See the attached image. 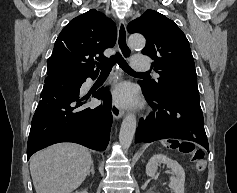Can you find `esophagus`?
I'll return each mask as SVG.
<instances>
[{"label": "esophagus", "mask_w": 237, "mask_h": 193, "mask_svg": "<svg viewBox=\"0 0 237 193\" xmlns=\"http://www.w3.org/2000/svg\"><path fill=\"white\" fill-rule=\"evenodd\" d=\"M127 30L126 26L123 20L119 21L118 25V35H117V46L122 53V55L126 58H128L132 54V50L128 46L127 42ZM112 115L114 119H120L124 115V110L119 107V105L113 101L112 104Z\"/></svg>", "instance_id": "esophagus-1"}]
</instances>
